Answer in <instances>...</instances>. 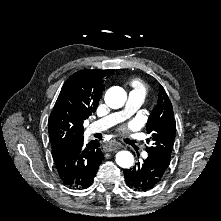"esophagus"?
Instances as JSON below:
<instances>
[{
    "instance_id": "obj_1",
    "label": "esophagus",
    "mask_w": 221,
    "mask_h": 221,
    "mask_svg": "<svg viewBox=\"0 0 221 221\" xmlns=\"http://www.w3.org/2000/svg\"><path fill=\"white\" fill-rule=\"evenodd\" d=\"M104 147L107 151H115L121 148V144L108 142Z\"/></svg>"
}]
</instances>
